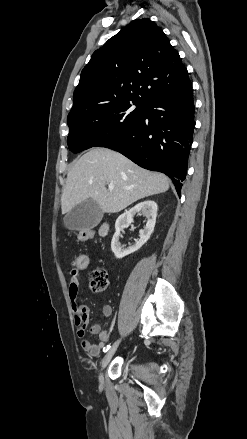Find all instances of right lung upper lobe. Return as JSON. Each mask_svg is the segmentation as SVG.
I'll return each instance as SVG.
<instances>
[{
	"mask_svg": "<svg viewBox=\"0 0 247 439\" xmlns=\"http://www.w3.org/2000/svg\"><path fill=\"white\" fill-rule=\"evenodd\" d=\"M189 85L188 71L162 29L150 19H136L93 53L68 117L116 101L147 104Z\"/></svg>",
	"mask_w": 247,
	"mask_h": 439,
	"instance_id": "right-lung-upper-lobe-1",
	"label": "right lung upper lobe"
}]
</instances>
